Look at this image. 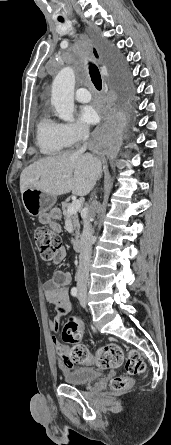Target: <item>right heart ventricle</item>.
Returning <instances> with one entry per match:
<instances>
[{
    "mask_svg": "<svg viewBox=\"0 0 171 445\" xmlns=\"http://www.w3.org/2000/svg\"><path fill=\"white\" fill-rule=\"evenodd\" d=\"M36 142L42 154L55 155L68 144L61 133L60 124L47 115L41 116L36 128Z\"/></svg>",
    "mask_w": 171,
    "mask_h": 445,
    "instance_id": "right-heart-ventricle-1",
    "label": "right heart ventricle"
}]
</instances>
